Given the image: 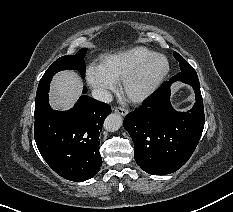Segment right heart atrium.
Returning a JSON list of instances; mask_svg holds the SVG:
<instances>
[{
	"instance_id": "d8ad5b80",
	"label": "right heart atrium",
	"mask_w": 233,
	"mask_h": 212,
	"mask_svg": "<svg viewBox=\"0 0 233 212\" xmlns=\"http://www.w3.org/2000/svg\"><path fill=\"white\" fill-rule=\"evenodd\" d=\"M86 80L90 88L102 99L107 98L109 92L117 86V81L108 75L101 65L89 66L86 72Z\"/></svg>"
}]
</instances>
